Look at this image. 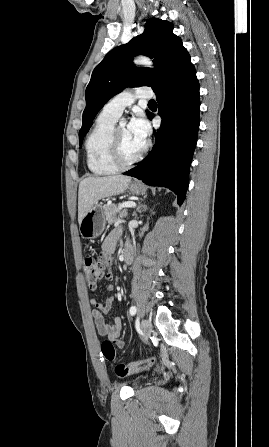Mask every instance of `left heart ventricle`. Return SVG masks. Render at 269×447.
Segmentation results:
<instances>
[{"mask_svg":"<svg viewBox=\"0 0 269 447\" xmlns=\"http://www.w3.org/2000/svg\"><path fill=\"white\" fill-rule=\"evenodd\" d=\"M117 135L122 149L123 157L126 161H130L136 158L145 147L146 141L136 136L130 130L129 126H119Z\"/></svg>","mask_w":269,"mask_h":447,"instance_id":"1","label":"left heart ventricle"}]
</instances>
